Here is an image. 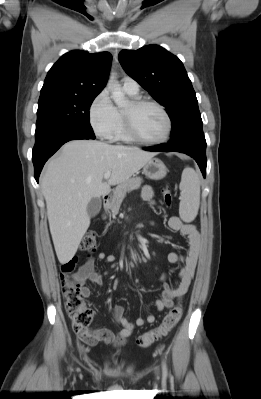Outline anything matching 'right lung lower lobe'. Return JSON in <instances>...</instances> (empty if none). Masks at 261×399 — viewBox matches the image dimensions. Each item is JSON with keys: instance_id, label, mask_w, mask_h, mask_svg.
Listing matches in <instances>:
<instances>
[{"instance_id": "1", "label": "right lung lower lobe", "mask_w": 261, "mask_h": 399, "mask_svg": "<svg viewBox=\"0 0 261 399\" xmlns=\"http://www.w3.org/2000/svg\"><path fill=\"white\" fill-rule=\"evenodd\" d=\"M74 139H95V135L93 131L87 132L68 125H57L35 133L32 161L37 182L45 162L64 143Z\"/></svg>"}]
</instances>
